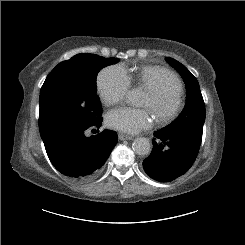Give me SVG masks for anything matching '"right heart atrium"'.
I'll use <instances>...</instances> for the list:
<instances>
[{"mask_svg":"<svg viewBox=\"0 0 245 245\" xmlns=\"http://www.w3.org/2000/svg\"><path fill=\"white\" fill-rule=\"evenodd\" d=\"M130 84L125 69L120 65L107 66L97 75V89L105 104H114L122 100Z\"/></svg>","mask_w":245,"mask_h":245,"instance_id":"1","label":"right heart atrium"}]
</instances>
